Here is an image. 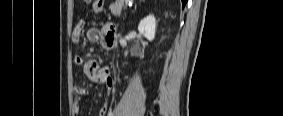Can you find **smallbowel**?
<instances>
[{
    "instance_id": "small-bowel-1",
    "label": "small bowel",
    "mask_w": 283,
    "mask_h": 116,
    "mask_svg": "<svg viewBox=\"0 0 283 116\" xmlns=\"http://www.w3.org/2000/svg\"><path fill=\"white\" fill-rule=\"evenodd\" d=\"M103 1H94V9L99 12L103 8ZM83 23L80 22L72 32V41L79 42L82 37ZM114 25L112 23H106L101 28H91L87 31V37L92 42H100L103 46L111 48L115 44L114 37ZM75 63L78 66L83 67V72L86 77L91 82L102 83L107 88V94L112 92L114 87V79L111 76L110 70L101 65L97 60L86 61L82 56H76ZM89 91L81 86H75L73 88V95L75 97V102L73 106L74 115H78L80 112V101L83 97L87 96ZM107 113V106L104 104L99 110V116H105Z\"/></svg>"
}]
</instances>
